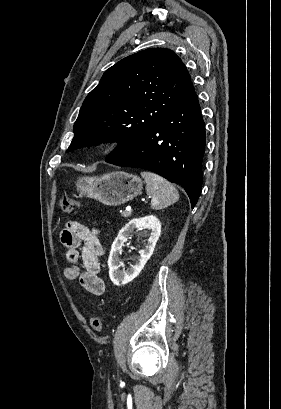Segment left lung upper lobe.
<instances>
[{
  "instance_id": "left-lung-upper-lobe-1",
  "label": "left lung upper lobe",
  "mask_w": 281,
  "mask_h": 409,
  "mask_svg": "<svg viewBox=\"0 0 281 409\" xmlns=\"http://www.w3.org/2000/svg\"><path fill=\"white\" fill-rule=\"evenodd\" d=\"M180 58L165 48L130 55L103 75L83 102L66 152L117 141L109 162L135 144L193 91Z\"/></svg>"
}]
</instances>
